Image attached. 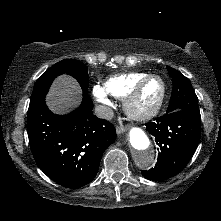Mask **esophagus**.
Here are the masks:
<instances>
[{"label":"esophagus","instance_id":"esophagus-1","mask_svg":"<svg viewBox=\"0 0 221 221\" xmlns=\"http://www.w3.org/2000/svg\"><path fill=\"white\" fill-rule=\"evenodd\" d=\"M116 131H117V134H122L126 131V127L123 125L117 126Z\"/></svg>","mask_w":221,"mask_h":221}]
</instances>
